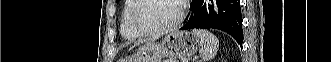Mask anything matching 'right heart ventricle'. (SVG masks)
Returning <instances> with one entry per match:
<instances>
[{
  "label": "right heart ventricle",
  "mask_w": 331,
  "mask_h": 62,
  "mask_svg": "<svg viewBox=\"0 0 331 62\" xmlns=\"http://www.w3.org/2000/svg\"><path fill=\"white\" fill-rule=\"evenodd\" d=\"M135 5V0H127L124 2L120 20V32L126 40H136L142 35L139 34L131 24V12Z\"/></svg>",
  "instance_id": "obj_1"
}]
</instances>
